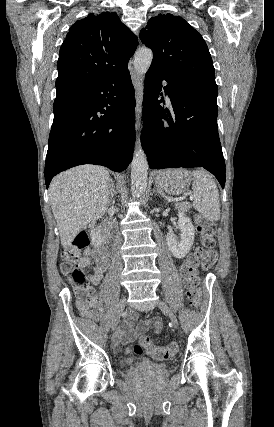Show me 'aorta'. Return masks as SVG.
<instances>
[{
  "label": "aorta",
  "mask_w": 274,
  "mask_h": 427,
  "mask_svg": "<svg viewBox=\"0 0 274 427\" xmlns=\"http://www.w3.org/2000/svg\"><path fill=\"white\" fill-rule=\"evenodd\" d=\"M153 59L152 51L147 47L140 48L134 57V68L140 75H145ZM148 162L140 142L135 145L131 163V190L139 197L147 187Z\"/></svg>",
  "instance_id": "1"
}]
</instances>
